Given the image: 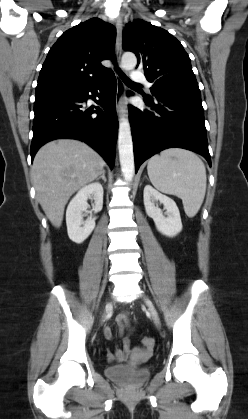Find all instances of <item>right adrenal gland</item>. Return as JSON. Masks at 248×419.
<instances>
[{"mask_svg":"<svg viewBox=\"0 0 248 419\" xmlns=\"http://www.w3.org/2000/svg\"><path fill=\"white\" fill-rule=\"evenodd\" d=\"M105 170H103L102 172H101V175L97 178V180H99V179H103L104 180V182H106L107 181V179H106V177H105Z\"/></svg>","mask_w":248,"mask_h":419,"instance_id":"obj_1","label":"right adrenal gland"}]
</instances>
